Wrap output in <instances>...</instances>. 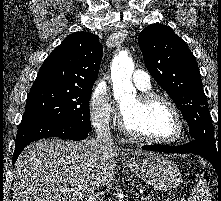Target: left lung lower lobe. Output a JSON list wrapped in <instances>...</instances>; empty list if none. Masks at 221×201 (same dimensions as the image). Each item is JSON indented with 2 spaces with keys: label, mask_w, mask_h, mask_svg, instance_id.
Returning a JSON list of instances; mask_svg holds the SVG:
<instances>
[{
  "label": "left lung lower lobe",
  "mask_w": 221,
  "mask_h": 201,
  "mask_svg": "<svg viewBox=\"0 0 221 201\" xmlns=\"http://www.w3.org/2000/svg\"><path fill=\"white\" fill-rule=\"evenodd\" d=\"M144 150L169 152V153H193L206 158L221 175V147L210 146L201 139H192L190 142L180 146L147 145Z\"/></svg>",
  "instance_id": "0a47b994"
}]
</instances>
